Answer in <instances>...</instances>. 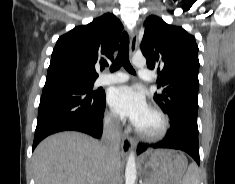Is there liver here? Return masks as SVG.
I'll return each mask as SVG.
<instances>
[{"label": "liver", "instance_id": "6515ba94", "mask_svg": "<svg viewBox=\"0 0 235 184\" xmlns=\"http://www.w3.org/2000/svg\"><path fill=\"white\" fill-rule=\"evenodd\" d=\"M118 162L106 154L98 140L79 132H60L37 146L32 156L34 182L101 184Z\"/></svg>", "mask_w": 235, "mask_h": 184}]
</instances>
